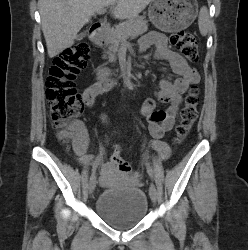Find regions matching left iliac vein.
<instances>
[{
    "mask_svg": "<svg viewBox=\"0 0 248 250\" xmlns=\"http://www.w3.org/2000/svg\"><path fill=\"white\" fill-rule=\"evenodd\" d=\"M149 195L151 200L155 203L158 200V192L154 184H151L149 187Z\"/></svg>",
    "mask_w": 248,
    "mask_h": 250,
    "instance_id": "1",
    "label": "left iliac vein"
}]
</instances>
